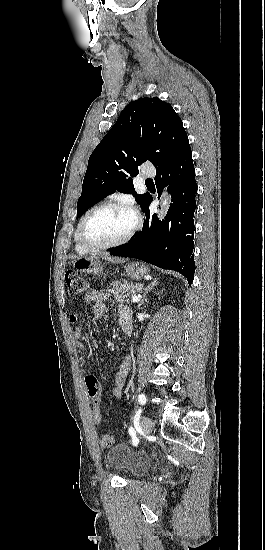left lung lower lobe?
<instances>
[{
  "instance_id": "left-lung-lower-lobe-1",
  "label": "left lung lower lobe",
  "mask_w": 265,
  "mask_h": 550,
  "mask_svg": "<svg viewBox=\"0 0 265 550\" xmlns=\"http://www.w3.org/2000/svg\"><path fill=\"white\" fill-rule=\"evenodd\" d=\"M155 183L159 194L164 186L170 185L173 203L165 220H158L156 214L150 215L151 197L144 210L146 220L142 231L131 242L109 249L110 254L138 258L163 269L178 271L191 285L195 272L193 217L197 208V183L189 141L156 170Z\"/></svg>"
}]
</instances>
